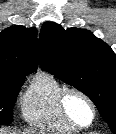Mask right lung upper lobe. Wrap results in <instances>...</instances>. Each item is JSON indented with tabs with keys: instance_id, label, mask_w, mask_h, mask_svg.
I'll return each instance as SVG.
<instances>
[{
	"instance_id": "obj_1",
	"label": "right lung upper lobe",
	"mask_w": 116,
	"mask_h": 134,
	"mask_svg": "<svg viewBox=\"0 0 116 134\" xmlns=\"http://www.w3.org/2000/svg\"><path fill=\"white\" fill-rule=\"evenodd\" d=\"M40 43L35 28L12 26L0 33V85L24 82L36 71Z\"/></svg>"
}]
</instances>
